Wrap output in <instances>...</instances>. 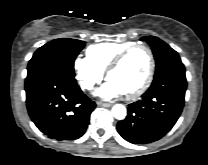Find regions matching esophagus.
Wrapping results in <instances>:
<instances>
[{"label":"esophagus","mask_w":208,"mask_h":165,"mask_svg":"<svg viewBox=\"0 0 208 165\" xmlns=\"http://www.w3.org/2000/svg\"><path fill=\"white\" fill-rule=\"evenodd\" d=\"M97 105L101 106V107H110L112 104H110V103H103V102H97Z\"/></svg>","instance_id":"esophagus-1"}]
</instances>
